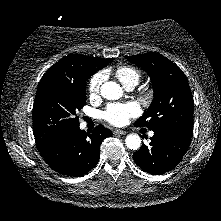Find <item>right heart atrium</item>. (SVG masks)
I'll use <instances>...</instances> for the list:
<instances>
[{
  "instance_id": "right-heart-atrium-1",
  "label": "right heart atrium",
  "mask_w": 221,
  "mask_h": 221,
  "mask_svg": "<svg viewBox=\"0 0 221 221\" xmlns=\"http://www.w3.org/2000/svg\"><path fill=\"white\" fill-rule=\"evenodd\" d=\"M104 79V72H97L90 78L88 82V92L90 96L95 97L100 93Z\"/></svg>"
}]
</instances>
